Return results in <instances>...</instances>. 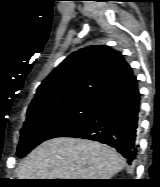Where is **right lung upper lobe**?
<instances>
[{
  "mask_svg": "<svg viewBox=\"0 0 160 187\" xmlns=\"http://www.w3.org/2000/svg\"><path fill=\"white\" fill-rule=\"evenodd\" d=\"M133 75L123 56L104 45L73 52L41 83L28 109L76 99L99 100Z\"/></svg>",
  "mask_w": 160,
  "mask_h": 187,
  "instance_id": "obj_1",
  "label": "right lung upper lobe"
}]
</instances>
